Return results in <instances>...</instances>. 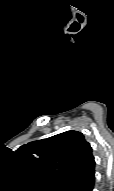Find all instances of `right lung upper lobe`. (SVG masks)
Segmentation results:
<instances>
[{
	"label": "right lung upper lobe",
	"instance_id": "1",
	"mask_svg": "<svg viewBox=\"0 0 114 191\" xmlns=\"http://www.w3.org/2000/svg\"><path fill=\"white\" fill-rule=\"evenodd\" d=\"M16 154L44 188H58L75 177L95 171L92 148L78 131L30 142Z\"/></svg>",
	"mask_w": 114,
	"mask_h": 191
}]
</instances>
